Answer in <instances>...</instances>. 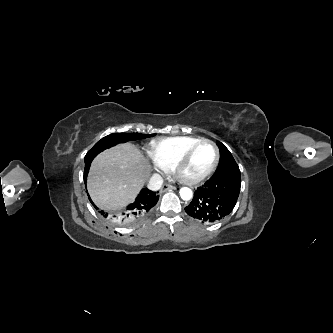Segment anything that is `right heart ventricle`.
I'll use <instances>...</instances> for the list:
<instances>
[{"instance_id":"1","label":"right heart ventricle","mask_w":333,"mask_h":333,"mask_svg":"<svg viewBox=\"0 0 333 333\" xmlns=\"http://www.w3.org/2000/svg\"><path fill=\"white\" fill-rule=\"evenodd\" d=\"M202 138L192 136L167 137L152 143L153 154L165 169H173L179 157Z\"/></svg>"}]
</instances>
